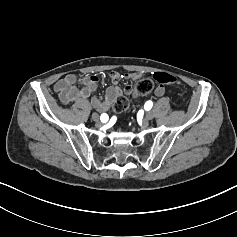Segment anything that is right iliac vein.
<instances>
[{"instance_id":"63e3f726","label":"right iliac vein","mask_w":237,"mask_h":237,"mask_svg":"<svg viewBox=\"0 0 237 237\" xmlns=\"http://www.w3.org/2000/svg\"><path fill=\"white\" fill-rule=\"evenodd\" d=\"M92 119L97 122V124L101 125L100 120H99V115L97 113L92 114Z\"/></svg>"}]
</instances>
